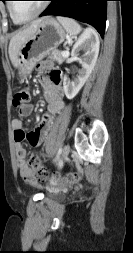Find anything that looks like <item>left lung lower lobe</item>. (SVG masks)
I'll return each instance as SVG.
<instances>
[{"instance_id": "0a47b994", "label": "left lung lower lobe", "mask_w": 133, "mask_h": 253, "mask_svg": "<svg viewBox=\"0 0 133 253\" xmlns=\"http://www.w3.org/2000/svg\"><path fill=\"white\" fill-rule=\"evenodd\" d=\"M50 5L40 15L71 17L92 25L104 36L108 0H49Z\"/></svg>"}]
</instances>
